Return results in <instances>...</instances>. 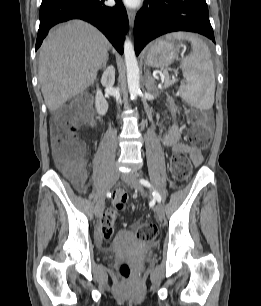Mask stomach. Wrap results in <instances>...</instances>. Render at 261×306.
I'll list each match as a JSON object with an SVG mask.
<instances>
[{"label":"stomach","mask_w":261,"mask_h":306,"mask_svg":"<svg viewBox=\"0 0 261 306\" xmlns=\"http://www.w3.org/2000/svg\"><path fill=\"white\" fill-rule=\"evenodd\" d=\"M181 47L183 45L174 40L159 38L146 49L145 63L156 68L167 67L178 57Z\"/></svg>","instance_id":"obj_1"}]
</instances>
